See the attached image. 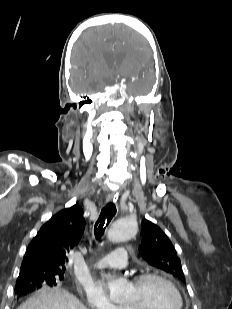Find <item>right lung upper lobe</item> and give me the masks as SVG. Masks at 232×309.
I'll return each instance as SVG.
<instances>
[{
  "mask_svg": "<svg viewBox=\"0 0 232 309\" xmlns=\"http://www.w3.org/2000/svg\"><path fill=\"white\" fill-rule=\"evenodd\" d=\"M84 228L83 210L77 204L52 216L28 245L20 271H65L67 254Z\"/></svg>",
  "mask_w": 232,
  "mask_h": 309,
  "instance_id": "right-lung-upper-lobe-1",
  "label": "right lung upper lobe"
}]
</instances>
